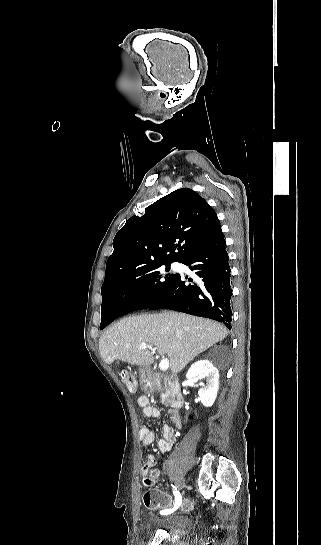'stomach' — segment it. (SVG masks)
I'll list each match as a JSON object with an SVG mask.
<instances>
[{"label": "stomach", "instance_id": "obj_1", "mask_svg": "<svg viewBox=\"0 0 321 545\" xmlns=\"http://www.w3.org/2000/svg\"><path fill=\"white\" fill-rule=\"evenodd\" d=\"M148 373H149L148 367H139V375H140V379H141L142 389H144V387H145L144 379H145V377H147Z\"/></svg>", "mask_w": 321, "mask_h": 545}]
</instances>
